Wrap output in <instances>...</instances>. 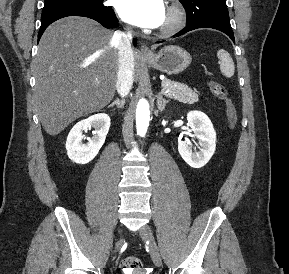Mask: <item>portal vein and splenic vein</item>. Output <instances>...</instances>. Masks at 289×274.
I'll list each match as a JSON object with an SVG mask.
<instances>
[{
    "instance_id": "obj_1",
    "label": "portal vein and splenic vein",
    "mask_w": 289,
    "mask_h": 274,
    "mask_svg": "<svg viewBox=\"0 0 289 274\" xmlns=\"http://www.w3.org/2000/svg\"><path fill=\"white\" fill-rule=\"evenodd\" d=\"M163 94H166V93H168L169 92V90L168 89H162V91H161Z\"/></svg>"
}]
</instances>
